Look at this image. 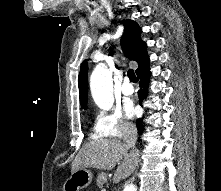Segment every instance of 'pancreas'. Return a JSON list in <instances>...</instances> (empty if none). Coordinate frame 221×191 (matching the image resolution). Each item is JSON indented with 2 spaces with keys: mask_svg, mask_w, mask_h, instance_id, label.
<instances>
[{
  "mask_svg": "<svg viewBox=\"0 0 221 191\" xmlns=\"http://www.w3.org/2000/svg\"><path fill=\"white\" fill-rule=\"evenodd\" d=\"M106 180H107V174L106 173H100V174H98V177L96 179V183L100 188H102L103 184L106 182Z\"/></svg>",
  "mask_w": 221,
  "mask_h": 191,
  "instance_id": "obj_1",
  "label": "pancreas"
}]
</instances>
